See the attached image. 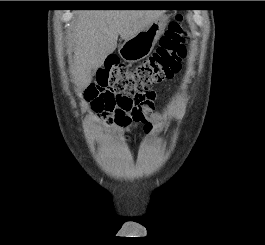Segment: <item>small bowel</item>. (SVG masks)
<instances>
[{"instance_id":"obj_1","label":"small bowel","mask_w":265,"mask_h":245,"mask_svg":"<svg viewBox=\"0 0 265 245\" xmlns=\"http://www.w3.org/2000/svg\"><path fill=\"white\" fill-rule=\"evenodd\" d=\"M99 95V91L98 88L96 87V85L94 83H91L88 85V87L86 88L85 92L83 93V100L86 101L87 103H93V101L98 97ZM145 112H148V119L151 122H160L162 120H164L165 116L164 114L160 113V112H153L152 111V106H146V108H144ZM117 131L121 134H127L130 133L131 131H133L136 128V125L133 124V122H128V123H118L117 126ZM145 131L148 132L149 131V127L145 128Z\"/></svg>"}]
</instances>
